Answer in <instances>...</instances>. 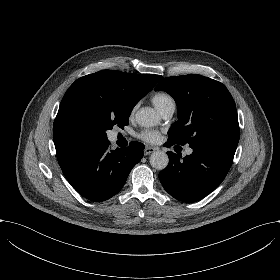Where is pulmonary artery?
I'll use <instances>...</instances> for the list:
<instances>
[{
  "label": "pulmonary artery",
  "mask_w": 280,
  "mask_h": 280,
  "mask_svg": "<svg viewBox=\"0 0 280 280\" xmlns=\"http://www.w3.org/2000/svg\"><path fill=\"white\" fill-rule=\"evenodd\" d=\"M175 112V105H170L161 111L164 119H169L173 116Z\"/></svg>",
  "instance_id": "pulmonary-artery-1"
}]
</instances>
